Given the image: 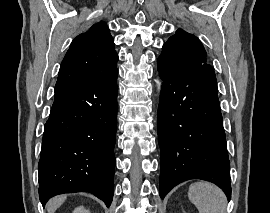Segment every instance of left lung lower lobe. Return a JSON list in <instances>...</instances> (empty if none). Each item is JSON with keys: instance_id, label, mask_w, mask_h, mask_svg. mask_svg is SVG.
Listing matches in <instances>:
<instances>
[{"instance_id": "left-lung-lower-lobe-1", "label": "left lung lower lobe", "mask_w": 270, "mask_h": 213, "mask_svg": "<svg viewBox=\"0 0 270 213\" xmlns=\"http://www.w3.org/2000/svg\"><path fill=\"white\" fill-rule=\"evenodd\" d=\"M160 77V197L183 181L202 179L218 185L230 199V162L217 83L195 73L160 72Z\"/></svg>"}]
</instances>
